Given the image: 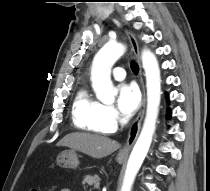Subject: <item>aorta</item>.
<instances>
[{"instance_id": "aorta-1", "label": "aorta", "mask_w": 210, "mask_h": 191, "mask_svg": "<svg viewBox=\"0 0 210 191\" xmlns=\"http://www.w3.org/2000/svg\"><path fill=\"white\" fill-rule=\"evenodd\" d=\"M125 46L118 42L106 43L96 54L91 81L96 97L104 104H112L118 91L111 81V69L124 54ZM141 60L146 77L147 109L141 133L130 154L121 191H131L135 177L148 153L161 99V76L156 56L149 50L142 51Z\"/></svg>"}]
</instances>
